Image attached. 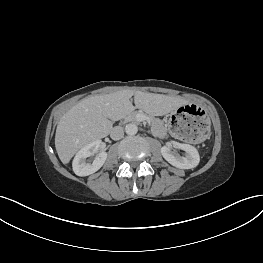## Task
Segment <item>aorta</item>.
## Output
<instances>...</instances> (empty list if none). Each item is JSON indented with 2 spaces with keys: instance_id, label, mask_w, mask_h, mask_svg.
I'll list each match as a JSON object with an SVG mask.
<instances>
[{
  "instance_id": "obj_1",
  "label": "aorta",
  "mask_w": 263,
  "mask_h": 263,
  "mask_svg": "<svg viewBox=\"0 0 263 263\" xmlns=\"http://www.w3.org/2000/svg\"><path fill=\"white\" fill-rule=\"evenodd\" d=\"M125 132H126V134H128V135H135V134H137V132H138V127H137V125L134 124V123H129V124H127L126 127H125Z\"/></svg>"
}]
</instances>
